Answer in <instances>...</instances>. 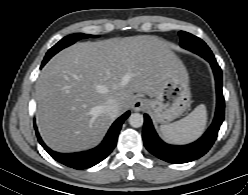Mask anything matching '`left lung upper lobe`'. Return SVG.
I'll return each instance as SVG.
<instances>
[{
  "label": "left lung upper lobe",
  "mask_w": 248,
  "mask_h": 195,
  "mask_svg": "<svg viewBox=\"0 0 248 195\" xmlns=\"http://www.w3.org/2000/svg\"><path fill=\"white\" fill-rule=\"evenodd\" d=\"M179 36H180V46L182 48H185L187 50H190L196 54H199L198 51L199 50H204L208 53H210L211 55H213V53L211 52V50L209 49V47L206 45V43L201 40L200 38L188 33V32H184V31H180L179 32Z\"/></svg>",
  "instance_id": "obj_1"
}]
</instances>
